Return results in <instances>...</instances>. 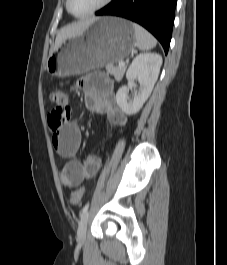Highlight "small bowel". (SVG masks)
Wrapping results in <instances>:
<instances>
[{
	"mask_svg": "<svg viewBox=\"0 0 227 265\" xmlns=\"http://www.w3.org/2000/svg\"><path fill=\"white\" fill-rule=\"evenodd\" d=\"M80 88L84 92L85 105L90 112L105 115L109 123L116 127L126 125L127 116L115 101L106 72H88V76L80 82ZM81 139L77 122L62 126L52 136V144L58 155L70 159L65 165L67 172L62 173V181L71 188L94 177L101 166V158L97 156H88L83 161L74 158Z\"/></svg>",
	"mask_w": 227,
	"mask_h": 265,
	"instance_id": "1",
	"label": "small bowel"
}]
</instances>
